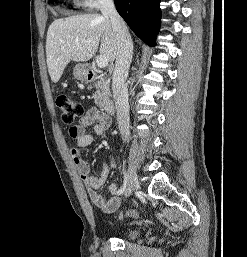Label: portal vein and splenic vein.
Here are the masks:
<instances>
[{"instance_id":"portal-vein-and-splenic-vein-1","label":"portal vein and splenic vein","mask_w":247,"mask_h":257,"mask_svg":"<svg viewBox=\"0 0 247 257\" xmlns=\"http://www.w3.org/2000/svg\"><path fill=\"white\" fill-rule=\"evenodd\" d=\"M97 66L100 68H105L108 65V59L106 56H98L96 59Z\"/></svg>"}]
</instances>
